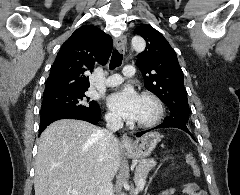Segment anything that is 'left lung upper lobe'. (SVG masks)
Instances as JSON below:
<instances>
[{
	"mask_svg": "<svg viewBox=\"0 0 240 195\" xmlns=\"http://www.w3.org/2000/svg\"><path fill=\"white\" fill-rule=\"evenodd\" d=\"M146 41V49L139 54L136 65L143 73L144 86L169 110L170 116L164 122H174L189 126V105L184 88V75L177 55L164 36L149 25H141L134 30Z\"/></svg>",
	"mask_w": 240,
	"mask_h": 195,
	"instance_id": "left-lung-upper-lobe-1",
	"label": "left lung upper lobe"
}]
</instances>
